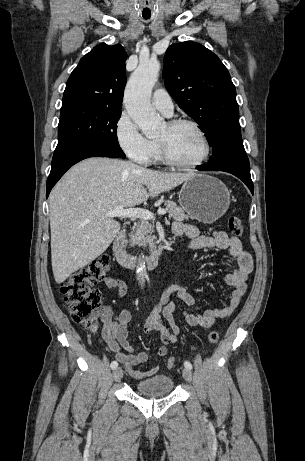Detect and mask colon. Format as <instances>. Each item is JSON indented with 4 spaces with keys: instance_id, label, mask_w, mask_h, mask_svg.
Returning a JSON list of instances; mask_svg holds the SVG:
<instances>
[{
    "instance_id": "1",
    "label": "colon",
    "mask_w": 305,
    "mask_h": 461,
    "mask_svg": "<svg viewBox=\"0 0 305 461\" xmlns=\"http://www.w3.org/2000/svg\"><path fill=\"white\" fill-rule=\"evenodd\" d=\"M230 232L236 236L243 233V226L237 217H230L228 220ZM110 266V258L107 255H100L85 267L72 273L60 285V292L64 302L75 323L81 327L96 331L99 328V314L102 302L101 292L94 284L101 281ZM219 339V333L213 330L208 335V342L215 344ZM176 360L171 357L167 360L168 369L175 367Z\"/></svg>"
}]
</instances>
